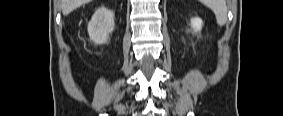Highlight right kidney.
I'll return each mask as SVG.
<instances>
[{
    "label": "right kidney",
    "instance_id": "ca27d5eb",
    "mask_svg": "<svg viewBox=\"0 0 283 116\" xmlns=\"http://www.w3.org/2000/svg\"><path fill=\"white\" fill-rule=\"evenodd\" d=\"M114 13L106 7L96 10L88 23V34L90 40L95 44H104L108 41L109 33L114 30Z\"/></svg>",
    "mask_w": 283,
    "mask_h": 116
}]
</instances>
